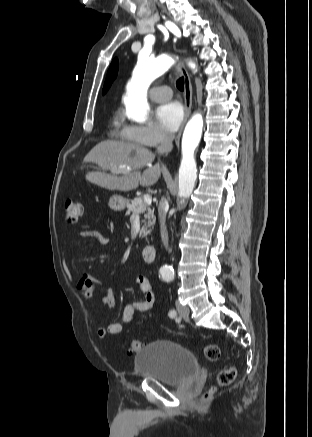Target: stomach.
I'll use <instances>...</instances> for the list:
<instances>
[{"label": "stomach", "mask_w": 312, "mask_h": 437, "mask_svg": "<svg viewBox=\"0 0 312 437\" xmlns=\"http://www.w3.org/2000/svg\"><path fill=\"white\" fill-rule=\"evenodd\" d=\"M128 204V200L120 195H113L109 199V207L113 211H123Z\"/></svg>", "instance_id": "0dacf381"}]
</instances>
